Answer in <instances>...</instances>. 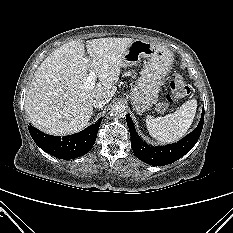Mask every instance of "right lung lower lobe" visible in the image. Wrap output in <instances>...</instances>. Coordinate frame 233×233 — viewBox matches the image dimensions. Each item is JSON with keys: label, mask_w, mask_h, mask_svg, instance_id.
I'll return each mask as SVG.
<instances>
[{"label": "right lung lower lobe", "mask_w": 233, "mask_h": 233, "mask_svg": "<svg viewBox=\"0 0 233 233\" xmlns=\"http://www.w3.org/2000/svg\"><path fill=\"white\" fill-rule=\"evenodd\" d=\"M102 118L85 130L68 136H52L28 126L34 142L48 154L60 159H74L88 153L95 143Z\"/></svg>", "instance_id": "right-lung-lower-lobe-1"}]
</instances>
